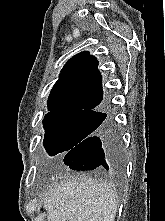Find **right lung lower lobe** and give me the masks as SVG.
Returning <instances> with one entry per match:
<instances>
[{"instance_id": "1", "label": "right lung lower lobe", "mask_w": 165, "mask_h": 221, "mask_svg": "<svg viewBox=\"0 0 165 221\" xmlns=\"http://www.w3.org/2000/svg\"><path fill=\"white\" fill-rule=\"evenodd\" d=\"M105 121L92 136H88L72 148L64 157V163L73 170L121 168L119 135L112 122V115L101 113Z\"/></svg>"}]
</instances>
